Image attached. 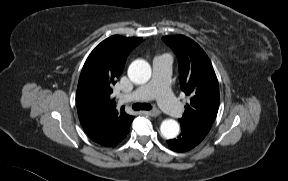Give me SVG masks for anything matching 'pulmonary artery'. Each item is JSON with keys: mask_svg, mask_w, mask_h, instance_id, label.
<instances>
[{"mask_svg": "<svg viewBox=\"0 0 288 181\" xmlns=\"http://www.w3.org/2000/svg\"><path fill=\"white\" fill-rule=\"evenodd\" d=\"M152 81L131 93L128 98L134 101H147L157 98L160 106L173 118L183 114V107L170 90L171 59L162 55L153 61Z\"/></svg>", "mask_w": 288, "mask_h": 181, "instance_id": "1", "label": "pulmonary artery"}]
</instances>
